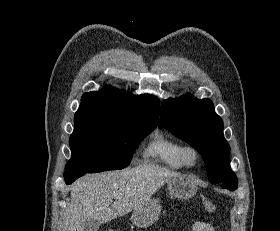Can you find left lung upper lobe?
Masks as SVG:
<instances>
[{"label": "left lung upper lobe", "instance_id": "obj_1", "mask_svg": "<svg viewBox=\"0 0 280 231\" xmlns=\"http://www.w3.org/2000/svg\"><path fill=\"white\" fill-rule=\"evenodd\" d=\"M159 127L166 128L202 155L212 184L237 179L230 168V146L223 135V121L210 99L186 94L165 100Z\"/></svg>", "mask_w": 280, "mask_h": 231}]
</instances>
